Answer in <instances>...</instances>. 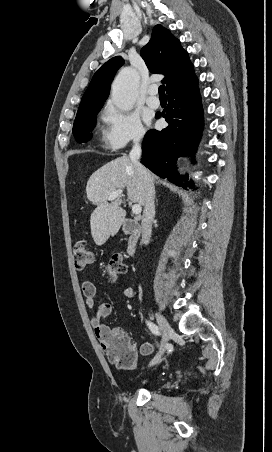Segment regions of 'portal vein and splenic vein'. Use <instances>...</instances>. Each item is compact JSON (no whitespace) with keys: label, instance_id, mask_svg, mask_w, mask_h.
Returning a JSON list of instances; mask_svg holds the SVG:
<instances>
[{"label":"portal vein and splenic vein","instance_id":"portal-vein-and-splenic-vein-1","mask_svg":"<svg viewBox=\"0 0 272 452\" xmlns=\"http://www.w3.org/2000/svg\"><path fill=\"white\" fill-rule=\"evenodd\" d=\"M122 193H123L122 190H117V191L112 192V193L108 196V201H113V200H115L116 198L120 197V196L122 195ZM141 211H142V208H141V206H140L139 204H134V205L132 206V213H133V214L138 215V214L141 213Z\"/></svg>","mask_w":272,"mask_h":452}]
</instances>
